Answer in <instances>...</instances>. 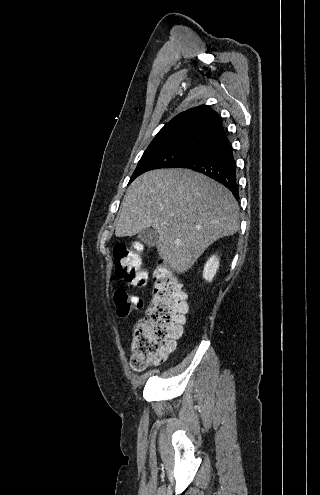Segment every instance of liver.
I'll return each instance as SVG.
<instances>
[{"label": "liver", "instance_id": "obj_1", "mask_svg": "<svg viewBox=\"0 0 320 495\" xmlns=\"http://www.w3.org/2000/svg\"><path fill=\"white\" fill-rule=\"evenodd\" d=\"M151 226L159 234L158 254L183 273L213 242L238 231L239 206L229 189L204 174L153 170L128 188L115 235L131 237Z\"/></svg>", "mask_w": 320, "mask_h": 495}]
</instances>
